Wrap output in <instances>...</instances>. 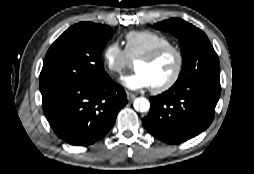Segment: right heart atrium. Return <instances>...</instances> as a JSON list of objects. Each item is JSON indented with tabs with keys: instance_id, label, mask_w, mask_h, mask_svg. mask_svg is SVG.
Masks as SVG:
<instances>
[{
	"instance_id": "obj_1",
	"label": "right heart atrium",
	"mask_w": 254,
	"mask_h": 174,
	"mask_svg": "<svg viewBox=\"0 0 254 174\" xmlns=\"http://www.w3.org/2000/svg\"><path fill=\"white\" fill-rule=\"evenodd\" d=\"M103 62L109 72L120 74L129 66L131 58L126 49L118 42L113 41L104 48Z\"/></svg>"
}]
</instances>
